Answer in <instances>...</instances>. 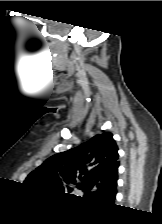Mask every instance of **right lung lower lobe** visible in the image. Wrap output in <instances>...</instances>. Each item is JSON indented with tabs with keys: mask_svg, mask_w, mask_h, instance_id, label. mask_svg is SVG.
Returning <instances> with one entry per match:
<instances>
[{
	"mask_svg": "<svg viewBox=\"0 0 162 224\" xmlns=\"http://www.w3.org/2000/svg\"><path fill=\"white\" fill-rule=\"evenodd\" d=\"M116 196V195H115ZM115 196L112 198V202L115 200Z\"/></svg>",
	"mask_w": 162,
	"mask_h": 224,
	"instance_id": "1",
	"label": "right lung lower lobe"
}]
</instances>
